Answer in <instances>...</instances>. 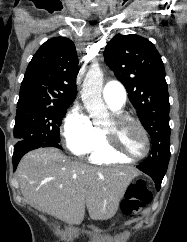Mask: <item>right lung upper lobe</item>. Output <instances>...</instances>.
<instances>
[{"label":"right lung upper lobe","instance_id":"cb5924a9","mask_svg":"<svg viewBox=\"0 0 187 242\" xmlns=\"http://www.w3.org/2000/svg\"><path fill=\"white\" fill-rule=\"evenodd\" d=\"M78 58L74 43L65 37L46 41L25 72L17 108H68L77 93Z\"/></svg>","mask_w":187,"mask_h":242}]
</instances>
